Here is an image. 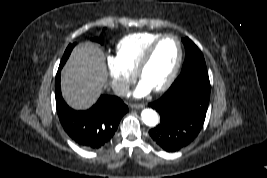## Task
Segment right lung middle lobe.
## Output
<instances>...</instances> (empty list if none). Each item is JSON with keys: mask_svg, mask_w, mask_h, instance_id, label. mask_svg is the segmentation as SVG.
I'll return each instance as SVG.
<instances>
[{"mask_svg": "<svg viewBox=\"0 0 267 178\" xmlns=\"http://www.w3.org/2000/svg\"><path fill=\"white\" fill-rule=\"evenodd\" d=\"M93 40L102 44V39H100V38H95ZM75 45H76L75 43L74 44H69V46L67 47V49H66V51H65V53H64V55H63V57L61 59V62H60L61 65L65 64V62L69 58V55H70V53H71V51H72V49L74 48Z\"/></svg>", "mask_w": 267, "mask_h": 178, "instance_id": "right-lung-middle-lobe-1", "label": "right lung middle lobe"}]
</instances>
